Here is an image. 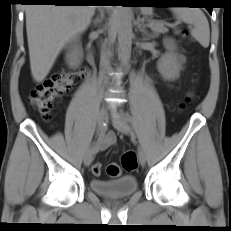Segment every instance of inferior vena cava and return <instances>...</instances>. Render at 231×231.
I'll list each match as a JSON object with an SVG mask.
<instances>
[{
    "instance_id": "602c4592",
    "label": "inferior vena cava",
    "mask_w": 231,
    "mask_h": 231,
    "mask_svg": "<svg viewBox=\"0 0 231 231\" xmlns=\"http://www.w3.org/2000/svg\"><path fill=\"white\" fill-rule=\"evenodd\" d=\"M110 54L108 49L106 48L105 45L102 46L101 48V55H100V67L103 71V79L104 83H107V78L104 76L105 71L109 68L110 65V60H109Z\"/></svg>"
}]
</instances>
